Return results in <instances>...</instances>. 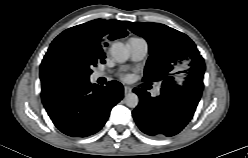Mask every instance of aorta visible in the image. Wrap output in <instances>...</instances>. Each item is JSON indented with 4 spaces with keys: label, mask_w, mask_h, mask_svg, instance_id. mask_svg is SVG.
I'll return each mask as SVG.
<instances>
[{
    "label": "aorta",
    "mask_w": 248,
    "mask_h": 158,
    "mask_svg": "<svg viewBox=\"0 0 248 158\" xmlns=\"http://www.w3.org/2000/svg\"><path fill=\"white\" fill-rule=\"evenodd\" d=\"M110 53L117 62H125L128 60L130 53L128 48L121 42L112 44ZM139 103V98L135 93H129L125 96V104L130 108H135Z\"/></svg>",
    "instance_id": "obj_1"
}]
</instances>
